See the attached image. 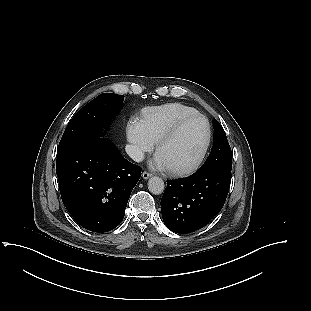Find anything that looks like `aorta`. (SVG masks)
<instances>
[{"label":"aorta","instance_id":"1","mask_svg":"<svg viewBox=\"0 0 311 311\" xmlns=\"http://www.w3.org/2000/svg\"><path fill=\"white\" fill-rule=\"evenodd\" d=\"M165 185L162 178L153 176L148 180V190L154 194L159 195L164 192Z\"/></svg>","mask_w":311,"mask_h":311}]
</instances>
